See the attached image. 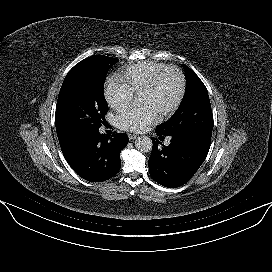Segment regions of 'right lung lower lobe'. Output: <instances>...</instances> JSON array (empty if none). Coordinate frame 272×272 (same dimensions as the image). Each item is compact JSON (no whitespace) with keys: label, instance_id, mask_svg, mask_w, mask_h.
<instances>
[{"label":"right lung lower lobe","instance_id":"98d812e1","mask_svg":"<svg viewBox=\"0 0 272 272\" xmlns=\"http://www.w3.org/2000/svg\"><path fill=\"white\" fill-rule=\"evenodd\" d=\"M127 143L128 137L124 133H113L109 138L96 131L84 138L65 159L83 179L90 182L106 181L119 172L120 152Z\"/></svg>","mask_w":272,"mask_h":272}]
</instances>
